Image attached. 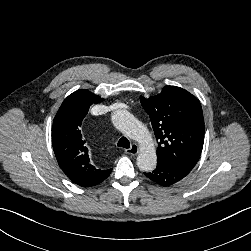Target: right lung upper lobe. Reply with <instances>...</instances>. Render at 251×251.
Returning a JSON list of instances; mask_svg holds the SVG:
<instances>
[{"mask_svg": "<svg viewBox=\"0 0 251 251\" xmlns=\"http://www.w3.org/2000/svg\"><path fill=\"white\" fill-rule=\"evenodd\" d=\"M103 99L86 89L69 95L60 106L52 127V144L58 164L63 172L82 187L99 184L111 173V169L96 168L90 158L81 125L92 104Z\"/></svg>", "mask_w": 251, "mask_h": 251, "instance_id": "obj_1", "label": "right lung upper lobe"}]
</instances>
